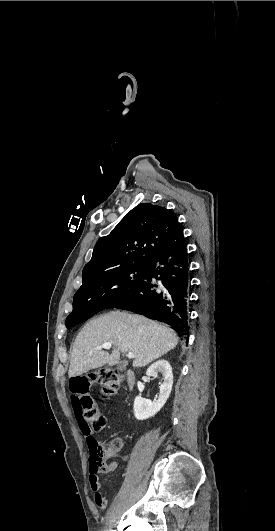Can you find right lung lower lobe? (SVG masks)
Instances as JSON below:
<instances>
[{
    "instance_id": "right-lung-lower-lobe-1",
    "label": "right lung lower lobe",
    "mask_w": 275,
    "mask_h": 531,
    "mask_svg": "<svg viewBox=\"0 0 275 531\" xmlns=\"http://www.w3.org/2000/svg\"><path fill=\"white\" fill-rule=\"evenodd\" d=\"M188 260L183 230L179 224L146 266L142 281L124 302L125 309L163 321L188 337Z\"/></svg>"
}]
</instances>
